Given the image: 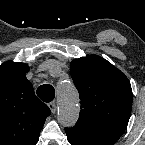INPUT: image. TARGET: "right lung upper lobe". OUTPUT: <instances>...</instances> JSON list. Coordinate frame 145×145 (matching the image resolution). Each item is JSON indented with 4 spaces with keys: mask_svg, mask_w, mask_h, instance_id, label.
<instances>
[{
    "mask_svg": "<svg viewBox=\"0 0 145 145\" xmlns=\"http://www.w3.org/2000/svg\"><path fill=\"white\" fill-rule=\"evenodd\" d=\"M28 71L25 63L0 66V145H35L51 114L34 94Z\"/></svg>",
    "mask_w": 145,
    "mask_h": 145,
    "instance_id": "obj_1",
    "label": "right lung upper lobe"
}]
</instances>
